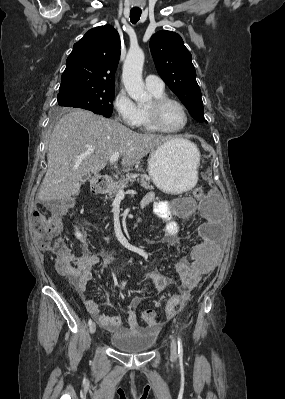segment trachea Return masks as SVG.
<instances>
[{"label": "trachea", "instance_id": "obj_1", "mask_svg": "<svg viewBox=\"0 0 285 399\" xmlns=\"http://www.w3.org/2000/svg\"><path fill=\"white\" fill-rule=\"evenodd\" d=\"M142 11L140 9H131L130 10V20L133 24H136L141 16Z\"/></svg>", "mask_w": 285, "mask_h": 399}]
</instances>
